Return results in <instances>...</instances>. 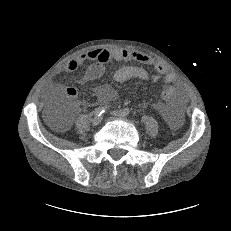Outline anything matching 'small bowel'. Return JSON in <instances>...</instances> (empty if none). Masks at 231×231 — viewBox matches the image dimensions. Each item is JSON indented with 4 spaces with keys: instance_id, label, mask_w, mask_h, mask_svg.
<instances>
[{
    "instance_id": "c3829d8e",
    "label": "small bowel",
    "mask_w": 231,
    "mask_h": 231,
    "mask_svg": "<svg viewBox=\"0 0 231 231\" xmlns=\"http://www.w3.org/2000/svg\"><path fill=\"white\" fill-rule=\"evenodd\" d=\"M110 60L136 62L142 65L152 66L154 69V74H150L141 66L128 65L120 67L115 70L112 75L113 80L119 83H124L133 79L157 82L162 77H164L166 83L176 81V77L168 71L165 65L156 62L149 55L137 51H126L118 48H101L88 51L80 55L78 58L63 64L59 68V72H73L77 70L84 62L91 61L92 64L86 69L83 76L79 80L81 84H87L99 79L104 74L105 65ZM57 90H64V92L70 98H74L77 95V90L74 87L64 88L61 84H55V91ZM96 94L99 103H108L117 98V92L108 85L98 87ZM156 108L166 118L172 127H176L179 124V112L176 103H160L156 106ZM68 122L69 120L65 121L62 127H66Z\"/></svg>"
}]
</instances>
